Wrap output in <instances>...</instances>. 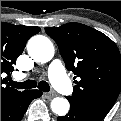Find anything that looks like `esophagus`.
<instances>
[{
  "mask_svg": "<svg viewBox=\"0 0 121 121\" xmlns=\"http://www.w3.org/2000/svg\"><path fill=\"white\" fill-rule=\"evenodd\" d=\"M45 97L50 99V98H53L55 96L54 93H44Z\"/></svg>",
  "mask_w": 121,
  "mask_h": 121,
  "instance_id": "esophagus-1",
  "label": "esophagus"
}]
</instances>
